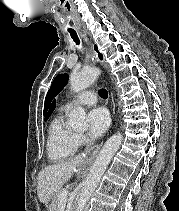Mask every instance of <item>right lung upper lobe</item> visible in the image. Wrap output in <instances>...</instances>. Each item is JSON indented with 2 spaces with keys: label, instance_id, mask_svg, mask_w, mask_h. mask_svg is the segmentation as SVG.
Here are the masks:
<instances>
[{
  "label": "right lung upper lobe",
  "instance_id": "right-lung-upper-lobe-1",
  "mask_svg": "<svg viewBox=\"0 0 179 211\" xmlns=\"http://www.w3.org/2000/svg\"><path fill=\"white\" fill-rule=\"evenodd\" d=\"M55 101L53 102V104H52V106H51V108H50V110H49V112H48V114H47V116H46V118H48L49 116H50V114L52 113V111L54 110V108H55Z\"/></svg>",
  "mask_w": 179,
  "mask_h": 211
}]
</instances>
